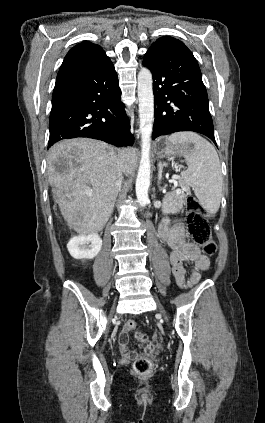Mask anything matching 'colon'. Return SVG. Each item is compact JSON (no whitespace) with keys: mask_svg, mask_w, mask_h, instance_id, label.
<instances>
[{"mask_svg":"<svg viewBox=\"0 0 265 423\" xmlns=\"http://www.w3.org/2000/svg\"><path fill=\"white\" fill-rule=\"evenodd\" d=\"M187 217L186 225L193 242L202 247L205 254L213 256L217 252V246L211 235V227L207 220V216L199 202L193 198L188 197L186 199ZM136 322L134 320H128L125 323L126 331H134L136 329ZM135 337L142 343L148 342V336L146 333L137 331ZM147 349L151 348L147 344ZM134 371L139 375H148L153 370L152 362L146 357H139L134 362Z\"/></svg>","mask_w":265,"mask_h":423,"instance_id":"1","label":"colon"}]
</instances>
